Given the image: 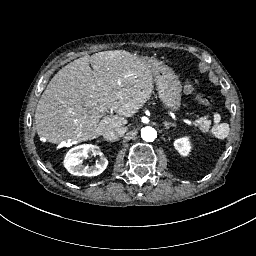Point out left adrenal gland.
I'll return each mask as SVG.
<instances>
[{
    "mask_svg": "<svg viewBox=\"0 0 256 256\" xmlns=\"http://www.w3.org/2000/svg\"><path fill=\"white\" fill-rule=\"evenodd\" d=\"M173 126H175L174 124H171V123H168V122H165V127H166V129H170V127H173Z\"/></svg>",
    "mask_w": 256,
    "mask_h": 256,
    "instance_id": "a2214340",
    "label": "left adrenal gland"
}]
</instances>
